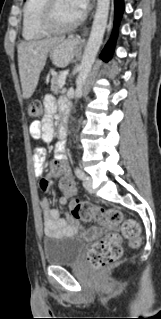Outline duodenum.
<instances>
[{
  "label": "duodenum",
  "mask_w": 161,
  "mask_h": 319,
  "mask_svg": "<svg viewBox=\"0 0 161 319\" xmlns=\"http://www.w3.org/2000/svg\"><path fill=\"white\" fill-rule=\"evenodd\" d=\"M67 134H68V124L65 121L60 125L59 130H58V135H59V137L64 138L67 136Z\"/></svg>",
  "instance_id": "duodenum-1"
}]
</instances>
